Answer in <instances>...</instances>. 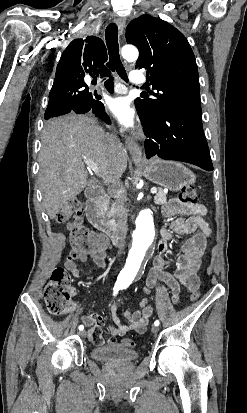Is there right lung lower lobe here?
<instances>
[{
    "label": "right lung lower lobe",
    "instance_id": "right-lung-lower-lobe-1",
    "mask_svg": "<svg viewBox=\"0 0 247 413\" xmlns=\"http://www.w3.org/2000/svg\"><path fill=\"white\" fill-rule=\"evenodd\" d=\"M83 82L84 87L77 93L71 96L49 99L48 107L45 112V119L48 120L51 117H57L74 111L77 114L93 112L95 116L110 123V120L105 112L104 105L98 100L101 97L89 92L88 86L84 83L83 78L80 80ZM106 88L113 92V78L110 77L105 82ZM97 98V99H95Z\"/></svg>",
    "mask_w": 247,
    "mask_h": 413
}]
</instances>
